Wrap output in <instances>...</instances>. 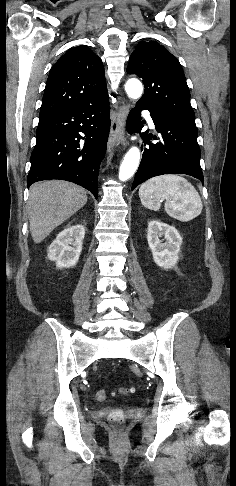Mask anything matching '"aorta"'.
I'll return each instance as SVG.
<instances>
[{"mask_svg":"<svg viewBox=\"0 0 236 486\" xmlns=\"http://www.w3.org/2000/svg\"><path fill=\"white\" fill-rule=\"evenodd\" d=\"M125 91L130 98L138 99L142 95L143 87L138 79L132 78L126 82ZM139 161V149L137 147L130 148L120 165L119 180L126 181L131 178L139 165Z\"/></svg>","mask_w":236,"mask_h":486,"instance_id":"aorta-1","label":"aorta"}]
</instances>
